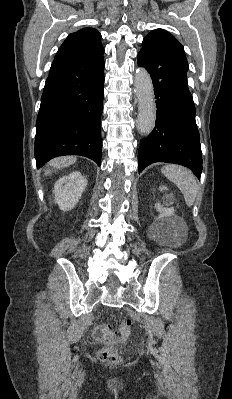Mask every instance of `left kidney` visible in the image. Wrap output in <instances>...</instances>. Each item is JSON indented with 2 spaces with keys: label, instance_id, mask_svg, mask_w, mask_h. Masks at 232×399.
<instances>
[{
  "label": "left kidney",
  "instance_id": "1",
  "mask_svg": "<svg viewBox=\"0 0 232 399\" xmlns=\"http://www.w3.org/2000/svg\"><path fill=\"white\" fill-rule=\"evenodd\" d=\"M160 190L163 192L168 188L161 186ZM155 207L159 211V215L150 227L154 237L163 239V237H169V235H184L187 231V225L182 217H176L174 207H163L161 203H155Z\"/></svg>",
  "mask_w": 232,
  "mask_h": 399
}]
</instances>
